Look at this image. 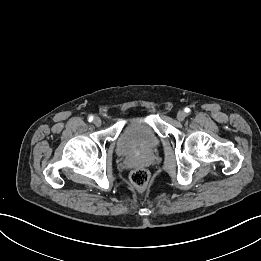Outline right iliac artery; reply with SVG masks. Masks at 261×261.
Returning a JSON list of instances; mask_svg holds the SVG:
<instances>
[{
  "label": "right iliac artery",
  "mask_w": 261,
  "mask_h": 261,
  "mask_svg": "<svg viewBox=\"0 0 261 261\" xmlns=\"http://www.w3.org/2000/svg\"><path fill=\"white\" fill-rule=\"evenodd\" d=\"M88 121H89V122L93 121V116H92V115H90V116L88 117Z\"/></svg>",
  "instance_id": "obj_1"
}]
</instances>
